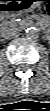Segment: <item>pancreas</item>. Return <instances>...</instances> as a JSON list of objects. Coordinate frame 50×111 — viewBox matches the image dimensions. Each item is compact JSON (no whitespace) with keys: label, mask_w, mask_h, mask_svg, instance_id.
I'll list each match as a JSON object with an SVG mask.
<instances>
[{"label":"pancreas","mask_w":50,"mask_h":111,"mask_svg":"<svg viewBox=\"0 0 50 111\" xmlns=\"http://www.w3.org/2000/svg\"><path fill=\"white\" fill-rule=\"evenodd\" d=\"M18 24L15 22L14 19L11 20H5L2 22V27L3 28H8V27H14L17 26Z\"/></svg>","instance_id":"1"}]
</instances>
